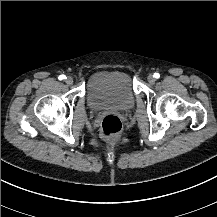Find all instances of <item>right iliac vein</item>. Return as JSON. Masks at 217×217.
I'll return each mask as SVG.
<instances>
[{"mask_svg": "<svg viewBox=\"0 0 217 217\" xmlns=\"http://www.w3.org/2000/svg\"><path fill=\"white\" fill-rule=\"evenodd\" d=\"M67 85H72L73 84V78L72 77H67L65 80Z\"/></svg>", "mask_w": 217, "mask_h": 217, "instance_id": "right-iliac-vein-1", "label": "right iliac vein"}]
</instances>
